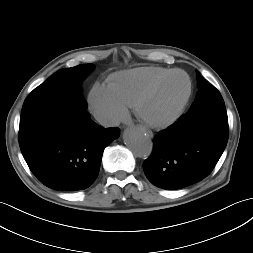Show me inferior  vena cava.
Returning <instances> with one entry per match:
<instances>
[{"instance_id": "inferior-vena-cava-1", "label": "inferior vena cava", "mask_w": 253, "mask_h": 253, "mask_svg": "<svg viewBox=\"0 0 253 253\" xmlns=\"http://www.w3.org/2000/svg\"><path fill=\"white\" fill-rule=\"evenodd\" d=\"M94 117L104 127H112L119 124L118 119L110 113L96 112Z\"/></svg>"}]
</instances>
